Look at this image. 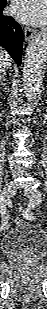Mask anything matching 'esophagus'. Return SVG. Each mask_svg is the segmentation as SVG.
<instances>
[{
    "label": "esophagus",
    "instance_id": "1",
    "mask_svg": "<svg viewBox=\"0 0 47 309\" xmlns=\"http://www.w3.org/2000/svg\"><path fill=\"white\" fill-rule=\"evenodd\" d=\"M35 31L29 27H25L24 28V36H25V40L27 42H30L31 39L34 37Z\"/></svg>",
    "mask_w": 47,
    "mask_h": 309
}]
</instances>
